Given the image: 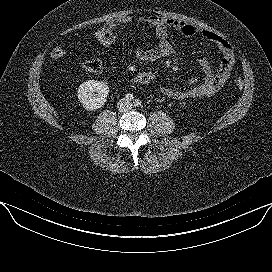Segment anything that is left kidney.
<instances>
[{
    "mask_svg": "<svg viewBox=\"0 0 272 272\" xmlns=\"http://www.w3.org/2000/svg\"><path fill=\"white\" fill-rule=\"evenodd\" d=\"M182 105L184 106V105H185V103H181V106H182Z\"/></svg>",
    "mask_w": 272,
    "mask_h": 272,
    "instance_id": "left-kidney-1",
    "label": "left kidney"
}]
</instances>
